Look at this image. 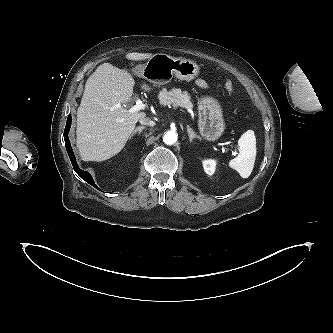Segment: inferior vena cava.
Here are the masks:
<instances>
[{
  "label": "inferior vena cava",
  "mask_w": 333,
  "mask_h": 333,
  "mask_svg": "<svg viewBox=\"0 0 333 333\" xmlns=\"http://www.w3.org/2000/svg\"><path fill=\"white\" fill-rule=\"evenodd\" d=\"M139 122L142 124V125H148V126H154L155 125V122L154 121H152L151 119H149V118H141L140 120H139Z\"/></svg>",
  "instance_id": "1"
}]
</instances>
